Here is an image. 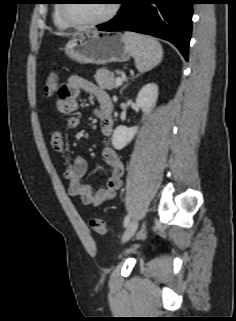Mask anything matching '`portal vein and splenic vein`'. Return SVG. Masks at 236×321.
<instances>
[{"instance_id":"1","label":"portal vein and splenic vein","mask_w":236,"mask_h":321,"mask_svg":"<svg viewBox=\"0 0 236 321\" xmlns=\"http://www.w3.org/2000/svg\"><path fill=\"white\" fill-rule=\"evenodd\" d=\"M125 77H117L116 78V86H121Z\"/></svg>"}]
</instances>
